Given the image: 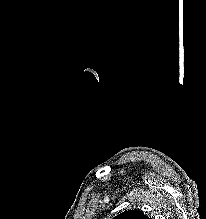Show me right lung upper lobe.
Here are the masks:
<instances>
[{
	"mask_svg": "<svg viewBox=\"0 0 206 219\" xmlns=\"http://www.w3.org/2000/svg\"><path fill=\"white\" fill-rule=\"evenodd\" d=\"M113 219H150L144 213L138 210H130L125 211L117 216H115Z\"/></svg>",
	"mask_w": 206,
	"mask_h": 219,
	"instance_id": "right-lung-upper-lobe-1",
	"label": "right lung upper lobe"
}]
</instances>
